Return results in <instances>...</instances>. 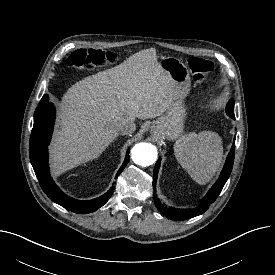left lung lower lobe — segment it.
<instances>
[{"label":"left lung lower lobe","mask_w":275,"mask_h":275,"mask_svg":"<svg viewBox=\"0 0 275 275\" xmlns=\"http://www.w3.org/2000/svg\"><path fill=\"white\" fill-rule=\"evenodd\" d=\"M234 151H235V143H233L232 149L227 156L224 168L220 174L219 179L217 180L216 184L212 186V188L209 190L207 195L201 200L200 205L198 207L194 209H176V208L169 207V209H167L166 207H164V205L160 202L158 198H155L154 199L155 205L160 210L161 214H163L164 216L172 220H186L204 213L209 208L210 204H212L216 200V198L220 194L221 190L223 189V186L225 185L227 179L231 174L233 161H234ZM160 161H161V158L159 157L154 167V174H153L154 175V180H153L154 195H156V181H157L158 171L160 168Z\"/></svg>","instance_id":"obj_1"}]
</instances>
